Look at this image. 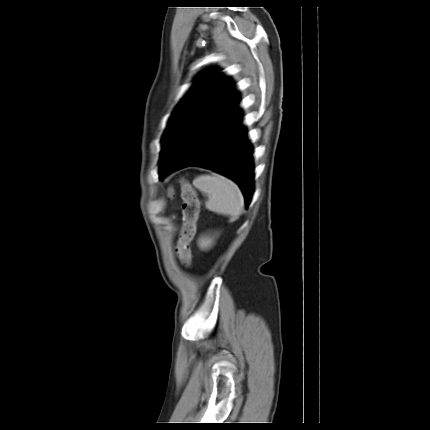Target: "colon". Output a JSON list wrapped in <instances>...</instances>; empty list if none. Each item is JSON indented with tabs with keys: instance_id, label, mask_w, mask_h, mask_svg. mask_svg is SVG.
<instances>
[{
	"instance_id": "colon-1",
	"label": "colon",
	"mask_w": 430,
	"mask_h": 430,
	"mask_svg": "<svg viewBox=\"0 0 430 430\" xmlns=\"http://www.w3.org/2000/svg\"><path fill=\"white\" fill-rule=\"evenodd\" d=\"M181 199H182V227L177 244V254L184 267L190 268L192 265L191 244L196 232V224L200 212V203L195 188L186 180L180 179ZM173 195V190H169Z\"/></svg>"
}]
</instances>
